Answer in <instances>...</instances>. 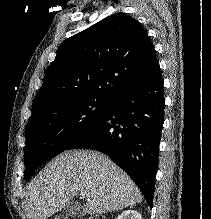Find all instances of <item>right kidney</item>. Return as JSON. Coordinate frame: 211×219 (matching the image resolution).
I'll return each instance as SVG.
<instances>
[{"instance_id":"right-kidney-1","label":"right kidney","mask_w":211,"mask_h":219,"mask_svg":"<svg viewBox=\"0 0 211 219\" xmlns=\"http://www.w3.org/2000/svg\"><path fill=\"white\" fill-rule=\"evenodd\" d=\"M116 219H142L141 214L135 210L123 211Z\"/></svg>"}]
</instances>
